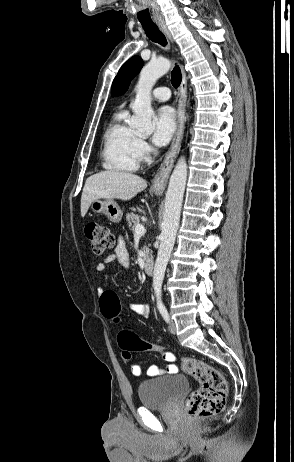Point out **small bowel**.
<instances>
[{
    "instance_id": "small-bowel-1",
    "label": "small bowel",
    "mask_w": 294,
    "mask_h": 462,
    "mask_svg": "<svg viewBox=\"0 0 294 462\" xmlns=\"http://www.w3.org/2000/svg\"><path fill=\"white\" fill-rule=\"evenodd\" d=\"M111 262H117L124 268H127L130 265L129 254L122 240L118 242L112 254L108 255L104 259L103 262H99L96 265L97 271L104 272L106 269V264L111 263ZM103 291L104 290L102 288L98 289L99 294H102ZM129 308L144 320H148L150 318V306L147 303H130ZM159 347H160V353L163 355V358L167 362V365L164 369H161L156 365H151L147 368L146 374L148 376H157V375H162L165 373H168V374L178 373L179 368L177 364L175 363L176 361L175 355L172 352L167 351L164 347L162 346H159ZM122 357L124 361L126 362L130 361V359L129 360L126 359L123 354H122ZM130 371L135 376H140L142 374V369L137 364H131Z\"/></svg>"
}]
</instances>
